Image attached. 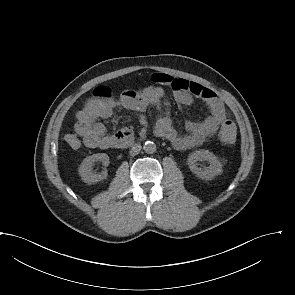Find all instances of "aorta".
Returning a JSON list of instances; mask_svg holds the SVG:
<instances>
[{
    "label": "aorta",
    "instance_id": "obj_1",
    "mask_svg": "<svg viewBox=\"0 0 295 295\" xmlns=\"http://www.w3.org/2000/svg\"><path fill=\"white\" fill-rule=\"evenodd\" d=\"M143 148L147 154H153L156 151V145H155V143H153L151 141L145 142Z\"/></svg>",
    "mask_w": 295,
    "mask_h": 295
}]
</instances>
